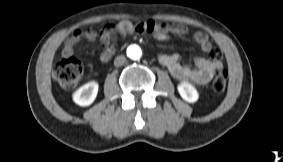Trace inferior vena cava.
I'll return each mask as SVG.
<instances>
[{
    "instance_id": "obj_1",
    "label": "inferior vena cava",
    "mask_w": 283,
    "mask_h": 162,
    "mask_svg": "<svg viewBox=\"0 0 283 162\" xmlns=\"http://www.w3.org/2000/svg\"><path fill=\"white\" fill-rule=\"evenodd\" d=\"M126 62V58L123 55L117 56L114 60V65L116 67L122 66Z\"/></svg>"
}]
</instances>
